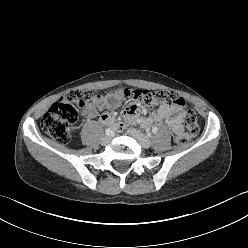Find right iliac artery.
<instances>
[{
	"mask_svg": "<svg viewBox=\"0 0 248 248\" xmlns=\"http://www.w3.org/2000/svg\"><path fill=\"white\" fill-rule=\"evenodd\" d=\"M105 132H106V135H111L113 132H112V130L110 129V128H107L106 130H105Z\"/></svg>",
	"mask_w": 248,
	"mask_h": 248,
	"instance_id": "82829eb1",
	"label": "right iliac artery"
}]
</instances>
